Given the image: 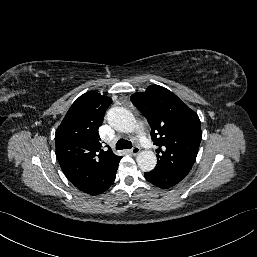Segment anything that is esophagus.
Segmentation results:
<instances>
[{
  "instance_id": "obj_1",
  "label": "esophagus",
  "mask_w": 257,
  "mask_h": 257,
  "mask_svg": "<svg viewBox=\"0 0 257 257\" xmlns=\"http://www.w3.org/2000/svg\"><path fill=\"white\" fill-rule=\"evenodd\" d=\"M131 154L133 155H137L140 152V147L139 146H134L131 150H130Z\"/></svg>"
}]
</instances>
